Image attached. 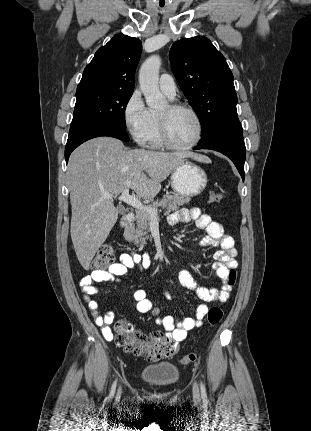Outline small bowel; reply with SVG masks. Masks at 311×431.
Instances as JSON below:
<instances>
[{"instance_id": "small-bowel-1", "label": "small bowel", "mask_w": 311, "mask_h": 431, "mask_svg": "<svg viewBox=\"0 0 311 431\" xmlns=\"http://www.w3.org/2000/svg\"><path fill=\"white\" fill-rule=\"evenodd\" d=\"M194 221L197 227L205 231L206 236L201 240L200 246H214L219 249L214 254L215 263L213 270L215 275L223 282L220 290L215 288L199 287L190 273L183 269L179 272L180 283L196 292L198 297L203 301L195 313L187 318L175 322L170 315L160 316L159 308L153 306L152 301L148 298V294L143 289H138L133 292V298L136 301V309L139 313H149L155 317V323L162 326L167 332L164 336L174 340L176 343L183 341L187 332L202 325V320L206 316L209 308V302H224L229 297L231 288L226 284V279L230 269L237 267V251L235 249L234 239L224 233V229L219 222L213 221L209 215L203 214L199 208L181 209L173 212L168 217V222L172 226L179 223H187ZM151 261L148 256H140L137 254L123 253L118 262L113 263L105 270H94L89 275L85 276L80 281V286L83 293V298L90 309L96 325L101 327L102 334L106 340L111 341L113 334L108 327L112 321V313H108L105 317L99 315L97 308L98 303L92 296L98 293L95 283L118 281L120 277L125 276L129 270L135 266L141 269H148ZM166 298H172V295L163 289ZM163 335L155 333L153 336Z\"/></svg>"}]
</instances>
